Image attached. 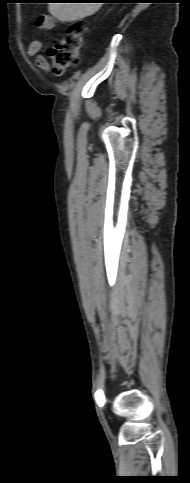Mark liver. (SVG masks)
Instances as JSON below:
<instances>
[{
    "instance_id": "6515ba94",
    "label": "liver",
    "mask_w": 190,
    "mask_h": 483,
    "mask_svg": "<svg viewBox=\"0 0 190 483\" xmlns=\"http://www.w3.org/2000/svg\"><path fill=\"white\" fill-rule=\"evenodd\" d=\"M102 3H49V12L61 22H74L96 13Z\"/></svg>"
}]
</instances>
